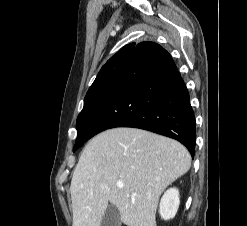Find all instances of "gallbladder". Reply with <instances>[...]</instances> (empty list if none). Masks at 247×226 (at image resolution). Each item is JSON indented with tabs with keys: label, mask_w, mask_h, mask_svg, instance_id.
Masks as SVG:
<instances>
[{
	"label": "gallbladder",
	"mask_w": 247,
	"mask_h": 226,
	"mask_svg": "<svg viewBox=\"0 0 247 226\" xmlns=\"http://www.w3.org/2000/svg\"><path fill=\"white\" fill-rule=\"evenodd\" d=\"M101 226H121L120 213L116 206L111 204L107 207Z\"/></svg>",
	"instance_id": "1"
}]
</instances>
